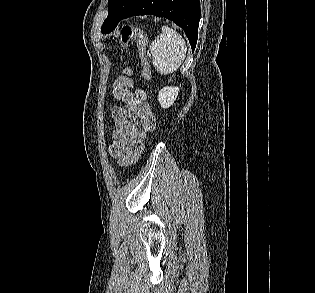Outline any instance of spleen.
<instances>
[{
  "instance_id": "obj_1",
  "label": "spleen",
  "mask_w": 315,
  "mask_h": 293,
  "mask_svg": "<svg viewBox=\"0 0 315 293\" xmlns=\"http://www.w3.org/2000/svg\"><path fill=\"white\" fill-rule=\"evenodd\" d=\"M152 63L157 72L170 74L175 72L186 57L187 46L183 37L168 26L162 27V33L149 45Z\"/></svg>"
}]
</instances>
